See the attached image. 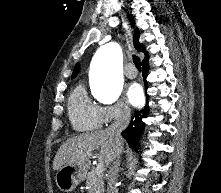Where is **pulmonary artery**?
<instances>
[{
    "label": "pulmonary artery",
    "instance_id": "1",
    "mask_svg": "<svg viewBox=\"0 0 221 193\" xmlns=\"http://www.w3.org/2000/svg\"><path fill=\"white\" fill-rule=\"evenodd\" d=\"M124 75L127 78L133 79L137 77V71L134 69V66L132 64H129L124 70Z\"/></svg>",
    "mask_w": 221,
    "mask_h": 193
}]
</instances>
